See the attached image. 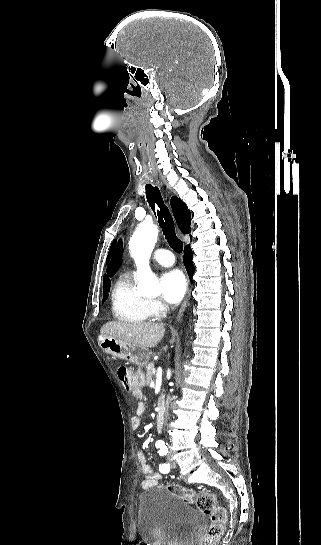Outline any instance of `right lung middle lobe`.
Instances as JSON below:
<instances>
[{"label":"right lung middle lobe","instance_id":"dd1d6c3e","mask_svg":"<svg viewBox=\"0 0 321 545\" xmlns=\"http://www.w3.org/2000/svg\"><path fill=\"white\" fill-rule=\"evenodd\" d=\"M109 288L103 289V302L105 301L107 294H108Z\"/></svg>","mask_w":321,"mask_h":545}]
</instances>
